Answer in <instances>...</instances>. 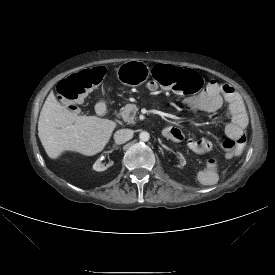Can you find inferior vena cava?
Returning a JSON list of instances; mask_svg holds the SVG:
<instances>
[{"label": "inferior vena cava", "mask_w": 275, "mask_h": 275, "mask_svg": "<svg viewBox=\"0 0 275 275\" xmlns=\"http://www.w3.org/2000/svg\"><path fill=\"white\" fill-rule=\"evenodd\" d=\"M134 131L131 129H120L115 132L114 140L117 144H123L132 139Z\"/></svg>", "instance_id": "602c4592"}]
</instances>
